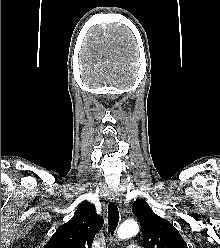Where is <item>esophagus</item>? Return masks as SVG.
Segmentation results:
<instances>
[{
  "instance_id": "1",
  "label": "esophagus",
  "mask_w": 220,
  "mask_h": 248,
  "mask_svg": "<svg viewBox=\"0 0 220 248\" xmlns=\"http://www.w3.org/2000/svg\"><path fill=\"white\" fill-rule=\"evenodd\" d=\"M109 200L113 203L121 204L122 200L120 197V194L118 192H110L109 194Z\"/></svg>"
}]
</instances>
